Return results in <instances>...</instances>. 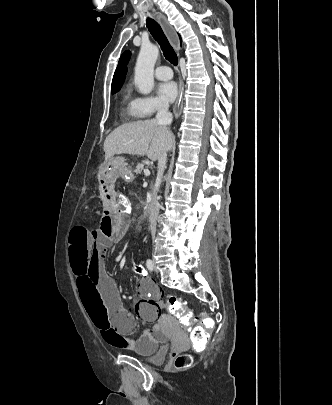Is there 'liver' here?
Here are the masks:
<instances>
[{"instance_id": "1", "label": "liver", "mask_w": 332, "mask_h": 405, "mask_svg": "<svg viewBox=\"0 0 332 405\" xmlns=\"http://www.w3.org/2000/svg\"><path fill=\"white\" fill-rule=\"evenodd\" d=\"M173 143L172 132L156 119L127 123L113 130L104 141L105 160L115 154L144 156L156 161Z\"/></svg>"}]
</instances>
